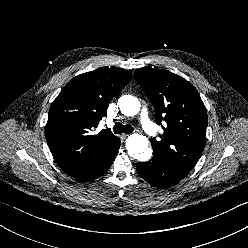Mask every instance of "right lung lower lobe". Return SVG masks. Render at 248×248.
Returning a JSON list of instances; mask_svg holds the SVG:
<instances>
[{"label":"right lung lower lobe","mask_w":248,"mask_h":248,"mask_svg":"<svg viewBox=\"0 0 248 248\" xmlns=\"http://www.w3.org/2000/svg\"><path fill=\"white\" fill-rule=\"evenodd\" d=\"M119 147L120 139L115 136L110 148L108 149L107 153L102 159H100L95 165H93L83 174L75 175L72 177L76 178L77 180L87 182L102 176L110 168L112 162L114 161L118 153Z\"/></svg>","instance_id":"1"}]
</instances>
